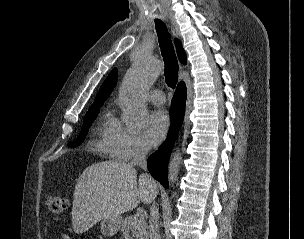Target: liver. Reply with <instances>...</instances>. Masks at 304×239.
<instances>
[{
	"instance_id": "liver-1",
	"label": "liver",
	"mask_w": 304,
	"mask_h": 239,
	"mask_svg": "<svg viewBox=\"0 0 304 239\" xmlns=\"http://www.w3.org/2000/svg\"><path fill=\"white\" fill-rule=\"evenodd\" d=\"M158 193L133 166L109 160L88 166L75 186L72 226L77 234L86 232L107 217H119L136 208L140 200L149 204Z\"/></svg>"
}]
</instances>
